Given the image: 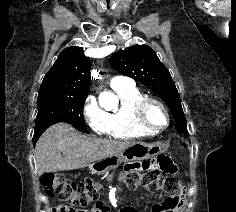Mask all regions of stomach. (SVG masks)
I'll return each mask as SVG.
<instances>
[{
	"mask_svg": "<svg viewBox=\"0 0 236 212\" xmlns=\"http://www.w3.org/2000/svg\"><path fill=\"white\" fill-rule=\"evenodd\" d=\"M164 150L157 144L143 142L135 143L122 152L97 161L90 166L93 174H104L111 169L117 168L123 162L141 161L153 158Z\"/></svg>",
	"mask_w": 236,
	"mask_h": 212,
	"instance_id": "stomach-1",
	"label": "stomach"
}]
</instances>
